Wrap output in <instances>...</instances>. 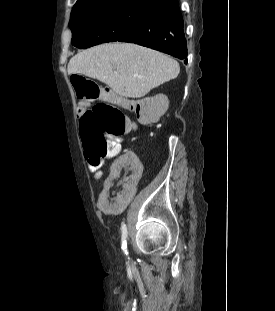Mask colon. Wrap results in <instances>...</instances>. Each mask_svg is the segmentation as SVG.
Returning a JSON list of instances; mask_svg holds the SVG:
<instances>
[{
    "instance_id": "1",
    "label": "colon",
    "mask_w": 275,
    "mask_h": 311,
    "mask_svg": "<svg viewBox=\"0 0 275 311\" xmlns=\"http://www.w3.org/2000/svg\"><path fill=\"white\" fill-rule=\"evenodd\" d=\"M71 81L80 102L93 103L94 100H101L80 116L81 137L87 155L94 160L117 155L120 147L113 137L131 129L127 116L111 104L110 92L102 91L93 80L82 75H73ZM122 103L127 109L136 111L143 124L150 125L155 121L156 115L152 112L149 102Z\"/></svg>"
}]
</instances>
